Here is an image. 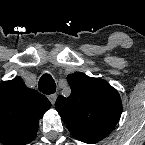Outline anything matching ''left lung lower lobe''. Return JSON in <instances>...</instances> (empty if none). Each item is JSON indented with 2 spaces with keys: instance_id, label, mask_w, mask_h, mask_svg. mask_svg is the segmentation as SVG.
Returning a JSON list of instances; mask_svg holds the SVG:
<instances>
[{
  "instance_id": "obj_1",
  "label": "left lung lower lobe",
  "mask_w": 145,
  "mask_h": 145,
  "mask_svg": "<svg viewBox=\"0 0 145 145\" xmlns=\"http://www.w3.org/2000/svg\"><path fill=\"white\" fill-rule=\"evenodd\" d=\"M70 133L73 135V137L82 142L94 144L105 138L107 135H109L111 131L107 129H96V130L73 129L70 131Z\"/></svg>"
}]
</instances>
